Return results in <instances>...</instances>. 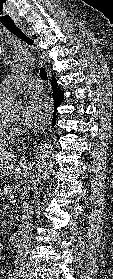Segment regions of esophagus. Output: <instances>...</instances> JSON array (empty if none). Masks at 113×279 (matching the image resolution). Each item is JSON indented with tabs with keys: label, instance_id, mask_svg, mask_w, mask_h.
<instances>
[{
	"label": "esophagus",
	"instance_id": "esophagus-1",
	"mask_svg": "<svg viewBox=\"0 0 113 279\" xmlns=\"http://www.w3.org/2000/svg\"><path fill=\"white\" fill-rule=\"evenodd\" d=\"M20 28L22 29V31H24L31 39L34 40L35 43V49L38 53V58H39V64L41 65H45V60H46V53L44 51V49L40 48L39 46V37L38 35L32 31V29L30 27H27L25 25H20Z\"/></svg>",
	"mask_w": 113,
	"mask_h": 279
}]
</instances>
